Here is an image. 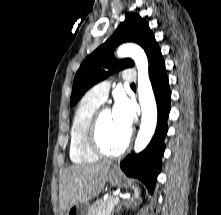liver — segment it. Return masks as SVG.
I'll return each instance as SVG.
<instances>
[{
    "mask_svg": "<svg viewBox=\"0 0 221 215\" xmlns=\"http://www.w3.org/2000/svg\"><path fill=\"white\" fill-rule=\"evenodd\" d=\"M110 164L75 165L67 168L59 187V208L66 212L78 203H88L104 188Z\"/></svg>",
    "mask_w": 221,
    "mask_h": 215,
    "instance_id": "liver-1",
    "label": "liver"
}]
</instances>
